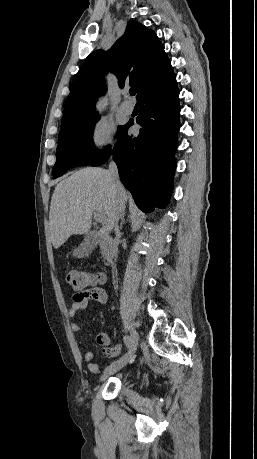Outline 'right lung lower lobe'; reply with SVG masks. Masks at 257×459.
I'll return each instance as SVG.
<instances>
[{
    "instance_id": "obj_1",
    "label": "right lung lower lobe",
    "mask_w": 257,
    "mask_h": 459,
    "mask_svg": "<svg viewBox=\"0 0 257 459\" xmlns=\"http://www.w3.org/2000/svg\"><path fill=\"white\" fill-rule=\"evenodd\" d=\"M179 90L171 74L139 97L142 126L138 137L127 135L129 121L117 137L113 150L90 164H104L110 155L116 162L123 185L143 212L165 208L172 191L176 161L177 133L180 128Z\"/></svg>"
}]
</instances>
